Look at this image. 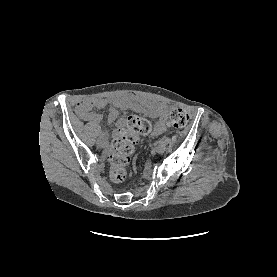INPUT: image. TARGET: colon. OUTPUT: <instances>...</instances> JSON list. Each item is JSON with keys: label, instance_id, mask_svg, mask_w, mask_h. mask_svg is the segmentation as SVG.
<instances>
[{"label": "colon", "instance_id": "obj_1", "mask_svg": "<svg viewBox=\"0 0 277 277\" xmlns=\"http://www.w3.org/2000/svg\"><path fill=\"white\" fill-rule=\"evenodd\" d=\"M189 120L186 111L180 108L174 109L168 120V126L181 129ZM151 131V123L144 117L130 115L124 122L123 128L112 142L110 154V177L114 182H123L127 177L128 165L135 152L140 135Z\"/></svg>", "mask_w": 277, "mask_h": 277}]
</instances>
